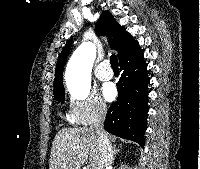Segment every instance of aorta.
<instances>
[{
  "label": "aorta",
  "instance_id": "aorta-1",
  "mask_svg": "<svg viewBox=\"0 0 200 169\" xmlns=\"http://www.w3.org/2000/svg\"><path fill=\"white\" fill-rule=\"evenodd\" d=\"M96 57L95 45L82 43L72 54L66 68V84L77 98H86L91 89V71Z\"/></svg>",
  "mask_w": 200,
  "mask_h": 169
}]
</instances>
